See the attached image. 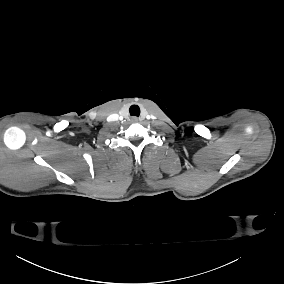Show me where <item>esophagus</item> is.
<instances>
[{
    "mask_svg": "<svg viewBox=\"0 0 284 284\" xmlns=\"http://www.w3.org/2000/svg\"><path fill=\"white\" fill-rule=\"evenodd\" d=\"M131 121H132V122H137V121H138V118H137L136 116H132V117H131Z\"/></svg>",
    "mask_w": 284,
    "mask_h": 284,
    "instance_id": "esophagus-1",
    "label": "esophagus"
}]
</instances>
